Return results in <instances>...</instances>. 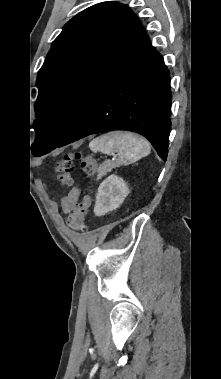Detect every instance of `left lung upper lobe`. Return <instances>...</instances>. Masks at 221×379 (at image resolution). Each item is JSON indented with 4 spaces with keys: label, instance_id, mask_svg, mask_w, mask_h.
<instances>
[{
    "label": "left lung upper lobe",
    "instance_id": "5c2ea615",
    "mask_svg": "<svg viewBox=\"0 0 221 379\" xmlns=\"http://www.w3.org/2000/svg\"><path fill=\"white\" fill-rule=\"evenodd\" d=\"M148 41L136 15L116 2L98 3L66 23L38 72L32 154L55 149Z\"/></svg>",
    "mask_w": 221,
    "mask_h": 379
}]
</instances>
